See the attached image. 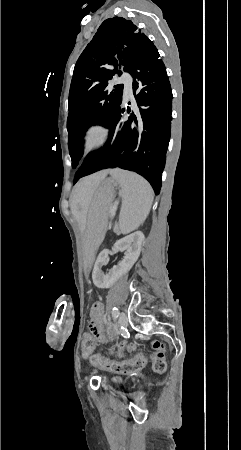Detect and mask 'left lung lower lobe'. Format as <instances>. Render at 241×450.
<instances>
[{
	"instance_id": "obj_1",
	"label": "left lung lower lobe",
	"mask_w": 241,
	"mask_h": 450,
	"mask_svg": "<svg viewBox=\"0 0 241 450\" xmlns=\"http://www.w3.org/2000/svg\"><path fill=\"white\" fill-rule=\"evenodd\" d=\"M133 77L137 115L122 121L120 106L105 126L110 129L104 148L90 153L74 183L96 171L119 167L142 175L158 194L170 140L172 90L166 68L155 46L135 57L128 71ZM138 93L136 94V91ZM130 112V109L127 110Z\"/></svg>"
}]
</instances>
